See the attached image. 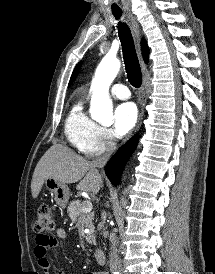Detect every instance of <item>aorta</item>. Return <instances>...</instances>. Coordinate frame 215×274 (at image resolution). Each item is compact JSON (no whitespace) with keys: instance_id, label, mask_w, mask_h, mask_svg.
<instances>
[{"instance_id":"1","label":"aorta","mask_w":215,"mask_h":274,"mask_svg":"<svg viewBox=\"0 0 215 274\" xmlns=\"http://www.w3.org/2000/svg\"><path fill=\"white\" fill-rule=\"evenodd\" d=\"M120 69L117 58L105 56L98 65L91 84L90 115L92 119L103 125L113 122L112 100L109 97V87Z\"/></svg>"}]
</instances>
